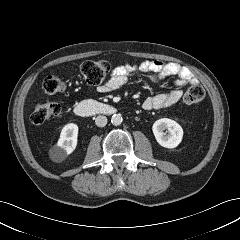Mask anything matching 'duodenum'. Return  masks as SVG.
Segmentation results:
<instances>
[{
  "instance_id": "obj_1",
  "label": "duodenum",
  "mask_w": 240,
  "mask_h": 240,
  "mask_svg": "<svg viewBox=\"0 0 240 240\" xmlns=\"http://www.w3.org/2000/svg\"><path fill=\"white\" fill-rule=\"evenodd\" d=\"M116 112V109L114 106L98 102L95 100H85L80 103H78L74 107V113L77 116L85 117L95 114H105V115H112Z\"/></svg>"
}]
</instances>
